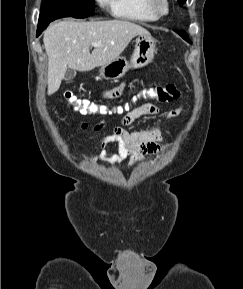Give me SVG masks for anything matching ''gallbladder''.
Masks as SVG:
<instances>
[{
	"label": "gallbladder",
	"mask_w": 243,
	"mask_h": 289,
	"mask_svg": "<svg viewBox=\"0 0 243 289\" xmlns=\"http://www.w3.org/2000/svg\"><path fill=\"white\" fill-rule=\"evenodd\" d=\"M76 75V71L72 68H67L65 75H64V80L66 81H71Z\"/></svg>",
	"instance_id": "bac80fb5"
}]
</instances>
